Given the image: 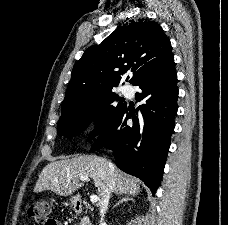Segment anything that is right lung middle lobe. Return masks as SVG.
I'll return each instance as SVG.
<instances>
[{"label":"right lung middle lobe","instance_id":"dd1d6c3e","mask_svg":"<svg viewBox=\"0 0 228 225\" xmlns=\"http://www.w3.org/2000/svg\"><path fill=\"white\" fill-rule=\"evenodd\" d=\"M115 101L120 103L113 105ZM125 106L112 90L63 106L57 125L58 135L74 136L89 120L96 119L98 125L89 137L92 139L108 128Z\"/></svg>","mask_w":228,"mask_h":225}]
</instances>
